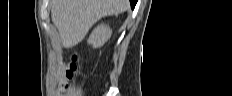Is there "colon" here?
I'll return each instance as SVG.
<instances>
[{"mask_svg": "<svg viewBox=\"0 0 232 96\" xmlns=\"http://www.w3.org/2000/svg\"><path fill=\"white\" fill-rule=\"evenodd\" d=\"M78 56L73 54L69 60V62L64 66L66 71V76L71 78V76L76 72L78 67Z\"/></svg>", "mask_w": 232, "mask_h": 96, "instance_id": "5ec220e1", "label": "colon"}]
</instances>
